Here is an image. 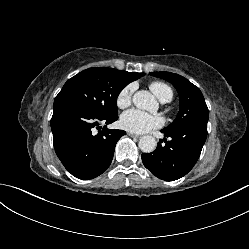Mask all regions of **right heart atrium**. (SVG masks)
<instances>
[{"label": "right heart atrium", "instance_id": "1", "mask_svg": "<svg viewBox=\"0 0 249 249\" xmlns=\"http://www.w3.org/2000/svg\"><path fill=\"white\" fill-rule=\"evenodd\" d=\"M134 90L135 86L133 84H129L118 93L116 104L119 108H126L131 104Z\"/></svg>", "mask_w": 249, "mask_h": 249}]
</instances>
